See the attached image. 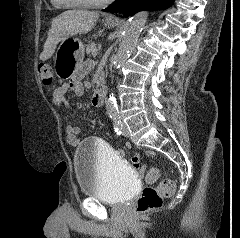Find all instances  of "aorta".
Wrapping results in <instances>:
<instances>
[{"instance_id":"1","label":"aorta","mask_w":240,"mask_h":238,"mask_svg":"<svg viewBox=\"0 0 240 238\" xmlns=\"http://www.w3.org/2000/svg\"><path fill=\"white\" fill-rule=\"evenodd\" d=\"M149 13L141 11L131 17L128 27L125 30L123 39L116 55L114 56V68L118 69L126 61L131 52L133 51L140 33L146 24ZM107 114L110 116H117L118 107L116 99L110 96L106 101Z\"/></svg>"}]
</instances>
